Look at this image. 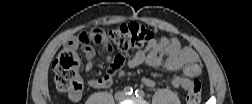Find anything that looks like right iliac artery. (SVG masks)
I'll return each mask as SVG.
<instances>
[{
	"label": "right iliac artery",
	"mask_w": 252,
	"mask_h": 104,
	"mask_svg": "<svg viewBox=\"0 0 252 104\" xmlns=\"http://www.w3.org/2000/svg\"><path fill=\"white\" fill-rule=\"evenodd\" d=\"M124 93H125L126 95H131V94L133 93L132 87H130V86L125 87V88H124Z\"/></svg>",
	"instance_id": "right-iliac-artery-1"
}]
</instances>
